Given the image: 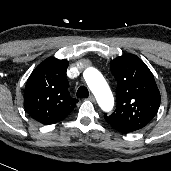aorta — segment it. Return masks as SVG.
Segmentation results:
<instances>
[{
    "label": "aorta",
    "instance_id": "obj_1",
    "mask_svg": "<svg viewBox=\"0 0 171 171\" xmlns=\"http://www.w3.org/2000/svg\"><path fill=\"white\" fill-rule=\"evenodd\" d=\"M84 78L95 95L100 107L104 111H111L114 105V99L102 74L97 69L91 67L85 70Z\"/></svg>",
    "mask_w": 171,
    "mask_h": 171
}]
</instances>
